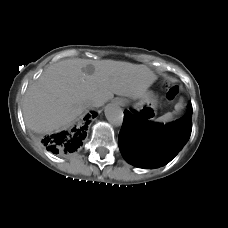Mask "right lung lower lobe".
<instances>
[{
    "mask_svg": "<svg viewBox=\"0 0 228 228\" xmlns=\"http://www.w3.org/2000/svg\"><path fill=\"white\" fill-rule=\"evenodd\" d=\"M95 112L86 115L83 120L70 130L47 135L42 138L46 149L60 156L69 155L75 152L86 137V131L91 118L96 117Z\"/></svg>",
    "mask_w": 228,
    "mask_h": 228,
    "instance_id": "obj_1",
    "label": "right lung lower lobe"
}]
</instances>
